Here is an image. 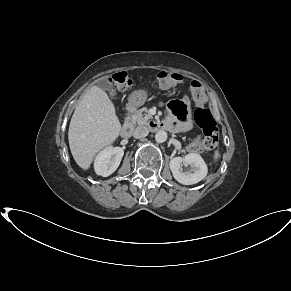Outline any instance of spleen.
I'll return each instance as SVG.
<instances>
[{"label":"spleen","mask_w":291,"mask_h":291,"mask_svg":"<svg viewBox=\"0 0 291 291\" xmlns=\"http://www.w3.org/2000/svg\"><path fill=\"white\" fill-rule=\"evenodd\" d=\"M220 156H221V155H220L219 150L214 151V154H213V161H214V162H217V161L219 160Z\"/></svg>","instance_id":"obj_1"}]
</instances>
